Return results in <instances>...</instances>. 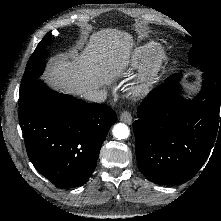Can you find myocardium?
Returning <instances> with one entry per match:
<instances>
[{
  "label": "myocardium",
  "instance_id": "f54148a6",
  "mask_svg": "<svg viewBox=\"0 0 221 221\" xmlns=\"http://www.w3.org/2000/svg\"><path fill=\"white\" fill-rule=\"evenodd\" d=\"M164 60L165 52L163 48H158L141 69L140 74L132 87L133 94L142 95L151 89L162 68Z\"/></svg>",
  "mask_w": 221,
  "mask_h": 221
}]
</instances>
